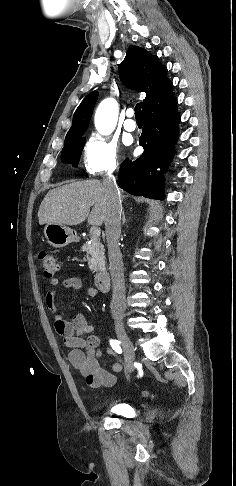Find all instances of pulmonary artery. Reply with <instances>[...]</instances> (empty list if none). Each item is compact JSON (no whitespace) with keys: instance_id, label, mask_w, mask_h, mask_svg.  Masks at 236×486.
Here are the masks:
<instances>
[{"instance_id":"obj_1","label":"pulmonary artery","mask_w":236,"mask_h":486,"mask_svg":"<svg viewBox=\"0 0 236 486\" xmlns=\"http://www.w3.org/2000/svg\"><path fill=\"white\" fill-rule=\"evenodd\" d=\"M133 115H134V111L132 109H128L126 112L127 118L124 121V128L129 132H132L136 129V123L132 118Z\"/></svg>"}]
</instances>
